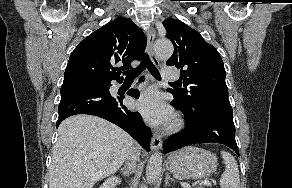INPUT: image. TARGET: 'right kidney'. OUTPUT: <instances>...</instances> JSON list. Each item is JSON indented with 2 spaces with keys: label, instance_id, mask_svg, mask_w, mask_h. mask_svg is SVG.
I'll use <instances>...</instances> for the list:
<instances>
[{
  "label": "right kidney",
  "instance_id": "ca27d5eb",
  "mask_svg": "<svg viewBox=\"0 0 292 188\" xmlns=\"http://www.w3.org/2000/svg\"><path fill=\"white\" fill-rule=\"evenodd\" d=\"M120 179L117 177L108 178L99 188H115L117 184H120Z\"/></svg>",
  "mask_w": 292,
  "mask_h": 188
}]
</instances>
